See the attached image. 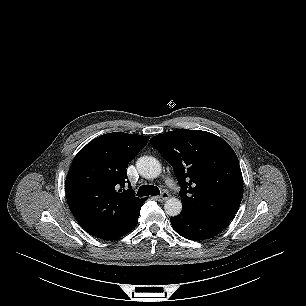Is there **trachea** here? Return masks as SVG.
I'll use <instances>...</instances> for the list:
<instances>
[{"label":"trachea","instance_id":"1","mask_svg":"<svg viewBox=\"0 0 306 306\" xmlns=\"http://www.w3.org/2000/svg\"><path fill=\"white\" fill-rule=\"evenodd\" d=\"M148 195H160V191L158 189V187L154 186V185H142L137 192V196H148Z\"/></svg>","mask_w":306,"mask_h":306}]
</instances>
